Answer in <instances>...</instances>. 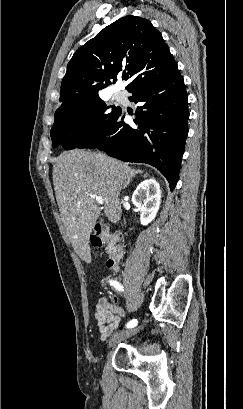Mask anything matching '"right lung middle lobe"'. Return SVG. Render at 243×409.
Returning a JSON list of instances; mask_svg holds the SVG:
<instances>
[{
	"label": "right lung middle lobe",
	"mask_w": 243,
	"mask_h": 409,
	"mask_svg": "<svg viewBox=\"0 0 243 409\" xmlns=\"http://www.w3.org/2000/svg\"><path fill=\"white\" fill-rule=\"evenodd\" d=\"M112 108V111H107ZM120 107L106 106L100 97L58 108L51 129L52 146L65 150L76 148L87 136H93L106 127Z\"/></svg>",
	"instance_id": "1"
}]
</instances>
